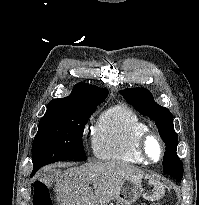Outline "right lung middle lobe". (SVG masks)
<instances>
[{
    "mask_svg": "<svg viewBox=\"0 0 199 205\" xmlns=\"http://www.w3.org/2000/svg\"><path fill=\"white\" fill-rule=\"evenodd\" d=\"M104 100H87L46 111L32 145L33 171L62 160H86L84 126Z\"/></svg>",
    "mask_w": 199,
    "mask_h": 205,
    "instance_id": "1",
    "label": "right lung middle lobe"
}]
</instances>
